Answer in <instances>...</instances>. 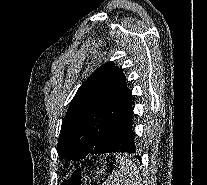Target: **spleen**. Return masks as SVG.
Wrapping results in <instances>:
<instances>
[{
  "label": "spleen",
  "mask_w": 207,
  "mask_h": 185,
  "mask_svg": "<svg viewBox=\"0 0 207 185\" xmlns=\"http://www.w3.org/2000/svg\"><path fill=\"white\" fill-rule=\"evenodd\" d=\"M134 159L116 158L115 170H110V178L105 185H138L141 174L139 167H133Z\"/></svg>",
  "instance_id": "3e777b00"
}]
</instances>
